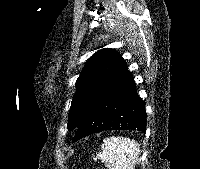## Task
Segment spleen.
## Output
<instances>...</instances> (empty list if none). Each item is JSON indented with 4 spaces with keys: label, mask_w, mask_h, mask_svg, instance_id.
Segmentation results:
<instances>
[{
    "label": "spleen",
    "mask_w": 200,
    "mask_h": 169,
    "mask_svg": "<svg viewBox=\"0 0 200 169\" xmlns=\"http://www.w3.org/2000/svg\"><path fill=\"white\" fill-rule=\"evenodd\" d=\"M140 154L138 142L126 137H110L104 140L102 152L97 157L109 169H134Z\"/></svg>",
    "instance_id": "spleen-1"
}]
</instances>
